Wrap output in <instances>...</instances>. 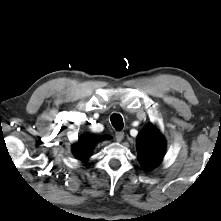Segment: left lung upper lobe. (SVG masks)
<instances>
[{
	"instance_id": "5c2ea615",
	"label": "left lung upper lobe",
	"mask_w": 221,
	"mask_h": 221,
	"mask_svg": "<svg viewBox=\"0 0 221 221\" xmlns=\"http://www.w3.org/2000/svg\"><path fill=\"white\" fill-rule=\"evenodd\" d=\"M138 157L145 170L158 165L165 154V141L152 124L143 128L138 137Z\"/></svg>"
}]
</instances>
